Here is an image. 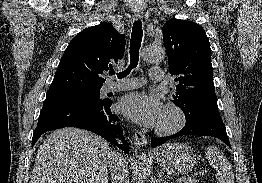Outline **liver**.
<instances>
[{
	"instance_id": "1",
	"label": "liver",
	"mask_w": 262,
	"mask_h": 183,
	"mask_svg": "<svg viewBox=\"0 0 262 183\" xmlns=\"http://www.w3.org/2000/svg\"><path fill=\"white\" fill-rule=\"evenodd\" d=\"M109 150L108 142L92 132L55 130L37 152L30 183H108Z\"/></svg>"
}]
</instances>
